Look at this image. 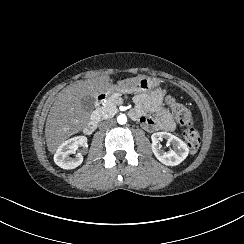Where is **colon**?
Listing matches in <instances>:
<instances>
[{
  "label": "colon",
  "mask_w": 244,
  "mask_h": 244,
  "mask_svg": "<svg viewBox=\"0 0 244 244\" xmlns=\"http://www.w3.org/2000/svg\"><path fill=\"white\" fill-rule=\"evenodd\" d=\"M167 105L176 110V120L180 122L183 138L188 139L192 153L200 151V144L197 140L198 129L193 127V119L190 111L183 108L182 104L175 103L173 98L167 99Z\"/></svg>",
  "instance_id": "obj_1"
}]
</instances>
